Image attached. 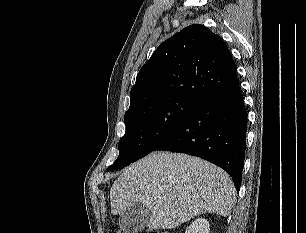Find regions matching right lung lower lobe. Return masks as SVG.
I'll return each mask as SVG.
<instances>
[{
	"label": "right lung lower lobe",
	"instance_id": "obj_1",
	"mask_svg": "<svg viewBox=\"0 0 306 233\" xmlns=\"http://www.w3.org/2000/svg\"><path fill=\"white\" fill-rule=\"evenodd\" d=\"M247 111L239 82L201 103L153 151L194 155L223 168L239 191L245 155Z\"/></svg>",
	"mask_w": 306,
	"mask_h": 233
}]
</instances>
